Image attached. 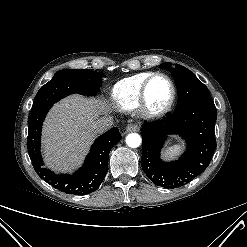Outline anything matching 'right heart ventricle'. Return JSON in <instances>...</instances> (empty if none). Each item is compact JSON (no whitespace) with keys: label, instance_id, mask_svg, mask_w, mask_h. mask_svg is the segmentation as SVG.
Instances as JSON below:
<instances>
[{"label":"right heart ventricle","instance_id":"obj_1","mask_svg":"<svg viewBox=\"0 0 247 247\" xmlns=\"http://www.w3.org/2000/svg\"><path fill=\"white\" fill-rule=\"evenodd\" d=\"M152 72H142L119 80L110 93L114 106L121 111H131L138 107L140 91Z\"/></svg>","mask_w":247,"mask_h":247}]
</instances>
